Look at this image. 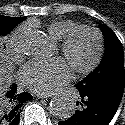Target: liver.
Masks as SVG:
<instances>
[{
    "label": "liver",
    "mask_w": 125,
    "mask_h": 125,
    "mask_svg": "<svg viewBox=\"0 0 125 125\" xmlns=\"http://www.w3.org/2000/svg\"><path fill=\"white\" fill-rule=\"evenodd\" d=\"M6 57L2 53V48H0V96L3 95V92L7 91V88L10 86V68L7 65Z\"/></svg>",
    "instance_id": "obj_1"
}]
</instances>
